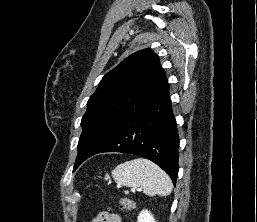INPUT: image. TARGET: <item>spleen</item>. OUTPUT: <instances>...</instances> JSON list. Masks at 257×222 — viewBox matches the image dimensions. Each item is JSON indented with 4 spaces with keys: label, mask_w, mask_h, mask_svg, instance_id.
<instances>
[{
    "label": "spleen",
    "mask_w": 257,
    "mask_h": 222,
    "mask_svg": "<svg viewBox=\"0 0 257 222\" xmlns=\"http://www.w3.org/2000/svg\"><path fill=\"white\" fill-rule=\"evenodd\" d=\"M116 183L128 187H139L149 196H167L172 191L168 175L147 159H134L119 164L112 170ZM109 176L106 175L105 179Z\"/></svg>",
    "instance_id": "3e777b00"
}]
</instances>
